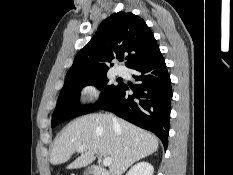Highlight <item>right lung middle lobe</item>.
<instances>
[{
  "mask_svg": "<svg viewBox=\"0 0 233 175\" xmlns=\"http://www.w3.org/2000/svg\"><path fill=\"white\" fill-rule=\"evenodd\" d=\"M87 85H93L98 89H103L99 101L93 106H81L78 101L82 88ZM121 86V83L118 85L108 84L106 73L65 81L52 116V127L68 119L99 109L113 97Z\"/></svg>",
  "mask_w": 233,
  "mask_h": 175,
  "instance_id": "right-lung-middle-lobe-1",
  "label": "right lung middle lobe"
}]
</instances>
